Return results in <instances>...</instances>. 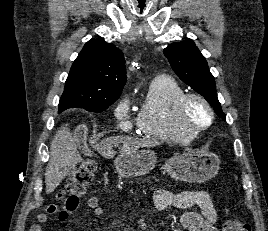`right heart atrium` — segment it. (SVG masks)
<instances>
[{"instance_id":"1","label":"right heart atrium","mask_w":268,"mask_h":231,"mask_svg":"<svg viewBox=\"0 0 268 231\" xmlns=\"http://www.w3.org/2000/svg\"><path fill=\"white\" fill-rule=\"evenodd\" d=\"M130 106L128 96H124L119 100L114 110L118 125L125 130H130L134 123V120L130 117Z\"/></svg>"}]
</instances>
